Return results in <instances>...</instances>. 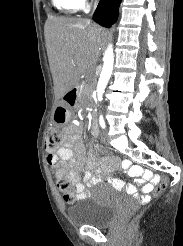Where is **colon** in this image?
Masks as SVG:
<instances>
[{
  "instance_id": "1",
  "label": "colon",
  "mask_w": 183,
  "mask_h": 246,
  "mask_svg": "<svg viewBox=\"0 0 183 246\" xmlns=\"http://www.w3.org/2000/svg\"><path fill=\"white\" fill-rule=\"evenodd\" d=\"M66 117H67V113L65 108L59 106L55 112L56 122L62 123L66 120ZM63 140H64V134L58 127L51 126L47 129L46 149L49 152L56 151L62 144ZM102 152L103 154H108L109 150L103 149ZM103 154L101 153L100 155L102 156ZM111 155L113 156L114 154L112 153ZM56 174L58 177L57 185L60 191L63 193L64 200L69 204L73 203L75 201V197L72 191V187H73L72 181L65 175L64 171L61 169L56 170ZM156 183H157V188L155 194L159 195L165 190L167 186V178L161 177V182H156Z\"/></svg>"
}]
</instances>
